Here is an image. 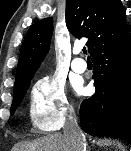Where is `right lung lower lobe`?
<instances>
[{
    "instance_id": "right-lung-lower-lobe-1",
    "label": "right lung lower lobe",
    "mask_w": 131,
    "mask_h": 151,
    "mask_svg": "<svg viewBox=\"0 0 131 151\" xmlns=\"http://www.w3.org/2000/svg\"><path fill=\"white\" fill-rule=\"evenodd\" d=\"M96 92L80 107L82 129L93 136L122 137L131 144L130 30L91 53Z\"/></svg>"
}]
</instances>
